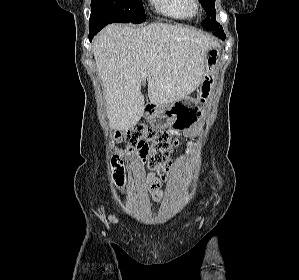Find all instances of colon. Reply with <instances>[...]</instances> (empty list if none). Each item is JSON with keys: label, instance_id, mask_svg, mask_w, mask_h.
Wrapping results in <instances>:
<instances>
[{"label": "colon", "instance_id": "colon-1", "mask_svg": "<svg viewBox=\"0 0 299 280\" xmlns=\"http://www.w3.org/2000/svg\"><path fill=\"white\" fill-rule=\"evenodd\" d=\"M117 137L129 142L132 148L130 151H136L142 162L158 168L162 178H170L172 165L169 156L178 145V138L173 130H160L137 124L124 133H118ZM188 150L192 152L191 147ZM112 164L115 182L122 186L126 181L124 166L116 157Z\"/></svg>", "mask_w": 299, "mask_h": 280}]
</instances>
